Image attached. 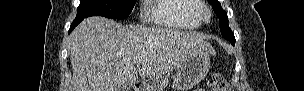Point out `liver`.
Returning a JSON list of instances; mask_svg holds the SVG:
<instances>
[{
	"instance_id": "6515ba94",
	"label": "liver",
	"mask_w": 304,
	"mask_h": 91,
	"mask_svg": "<svg viewBox=\"0 0 304 91\" xmlns=\"http://www.w3.org/2000/svg\"><path fill=\"white\" fill-rule=\"evenodd\" d=\"M197 50L214 53L196 32L122 26L104 17H90L70 36L69 91H127L138 75L162 77ZM135 57L141 61L134 63Z\"/></svg>"
}]
</instances>
